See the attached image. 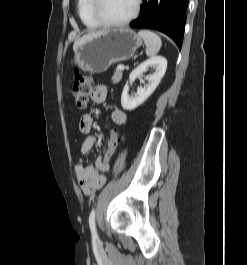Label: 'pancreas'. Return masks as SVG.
<instances>
[{
  "label": "pancreas",
  "mask_w": 247,
  "mask_h": 265,
  "mask_svg": "<svg viewBox=\"0 0 247 265\" xmlns=\"http://www.w3.org/2000/svg\"><path fill=\"white\" fill-rule=\"evenodd\" d=\"M122 78V71L116 69V71L114 72V75L112 77V81L113 83H118Z\"/></svg>",
  "instance_id": "1"
}]
</instances>
